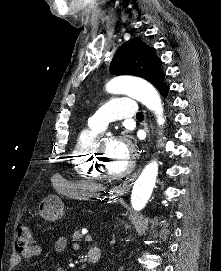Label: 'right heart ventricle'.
<instances>
[{"label":"right heart ventricle","mask_w":221,"mask_h":271,"mask_svg":"<svg viewBox=\"0 0 221 271\" xmlns=\"http://www.w3.org/2000/svg\"><path fill=\"white\" fill-rule=\"evenodd\" d=\"M98 144H102L97 138H78V142H75L77 151H84L87 154H73L72 161H76L78 164L81 162V166H74V172L79 179H101L102 175L97 174L98 164H95L93 158H97L99 149Z\"/></svg>","instance_id":"right-heart-ventricle-1"}]
</instances>
